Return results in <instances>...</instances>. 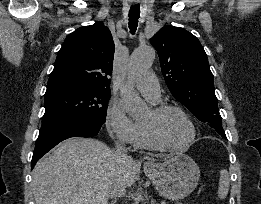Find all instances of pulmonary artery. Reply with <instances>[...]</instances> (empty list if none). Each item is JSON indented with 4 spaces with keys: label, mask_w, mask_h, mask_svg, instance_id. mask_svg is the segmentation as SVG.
Wrapping results in <instances>:
<instances>
[{
    "label": "pulmonary artery",
    "mask_w": 261,
    "mask_h": 204,
    "mask_svg": "<svg viewBox=\"0 0 261 204\" xmlns=\"http://www.w3.org/2000/svg\"><path fill=\"white\" fill-rule=\"evenodd\" d=\"M136 86L141 94L151 102L160 98V88L157 78L152 73H146L136 81Z\"/></svg>",
    "instance_id": "obj_1"
}]
</instances>
